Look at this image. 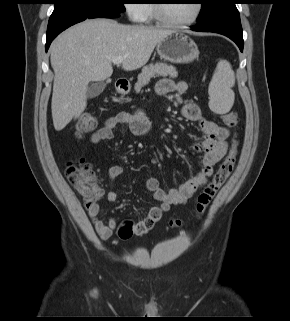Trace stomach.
Returning <instances> with one entry per match:
<instances>
[{
  "label": "stomach",
  "instance_id": "0dacf381",
  "mask_svg": "<svg viewBox=\"0 0 290 321\" xmlns=\"http://www.w3.org/2000/svg\"><path fill=\"white\" fill-rule=\"evenodd\" d=\"M161 59L175 64H187L199 56L196 43L181 31H172L157 44Z\"/></svg>",
  "mask_w": 290,
  "mask_h": 321
}]
</instances>
